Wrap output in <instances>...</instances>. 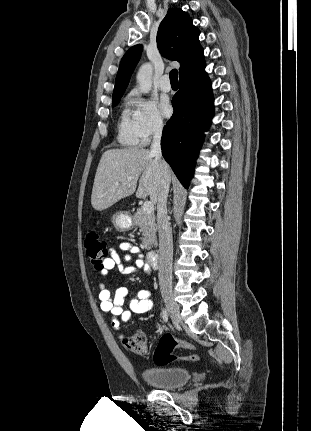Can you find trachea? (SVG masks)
Wrapping results in <instances>:
<instances>
[{
  "label": "trachea",
  "instance_id": "obj_1",
  "mask_svg": "<svg viewBox=\"0 0 311 431\" xmlns=\"http://www.w3.org/2000/svg\"><path fill=\"white\" fill-rule=\"evenodd\" d=\"M169 76H170V83L178 84V71L176 69L171 70Z\"/></svg>",
  "mask_w": 311,
  "mask_h": 431
}]
</instances>
